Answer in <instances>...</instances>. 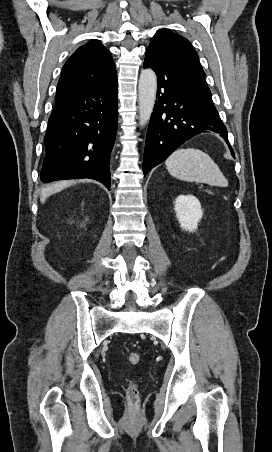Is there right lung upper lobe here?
I'll return each instance as SVG.
<instances>
[{"instance_id":"right-lung-upper-lobe-1","label":"right lung upper lobe","mask_w":272,"mask_h":452,"mask_svg":"<svg viewBox=\"0 0 272 452\" xmlns=\"http://www.w3.org/2000/svg\"><path fill=\"white\" fill-rule=\"evenodd\" d=\"M116 75L111 53L99 41L91 40L79 47L64 64L55 104L106 85Z\"/></svg>"}]
</instances>
